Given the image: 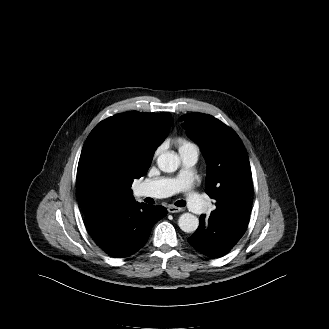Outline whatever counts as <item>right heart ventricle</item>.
<instances>
[{
    "instance_id": "right-heart-ventricle-1",
    "label": "right heart ventricle",
    "mask_w": 329,
    "mask_h": 329,
    "mask_svg": "<svg viewBox=\"0 0 329 329\" xmlns=\"http://www.w3.org/2000/svg\"><path fill=\"white\" fill-rule=\"evenodd\" d=\"M177 145H178V148H179V152H182V151L187 150L193 144H191L190 142H188L186 140L178 139L177 140Z\"/></svg>"
}]
</instances>
